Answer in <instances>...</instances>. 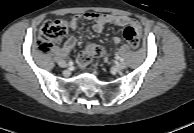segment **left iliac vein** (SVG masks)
Masks as SVG:
<instances>
[{
    "instance_id": "1",
    "label": "left iliac vein",
    "mask_w": 194,
    "mask_h": 133,
    "mask_svg": "<svg viewBox=\"0 0 194 133\" xmlns=\"http://www.w3.org/2000/svg\"><path fill=\"white\" fill-rule=\"evenodd\" d=\"M127 67V64L125 62H119L115 65L116 70H123Z\"/></svg>"
}]
</instances>
